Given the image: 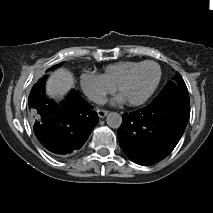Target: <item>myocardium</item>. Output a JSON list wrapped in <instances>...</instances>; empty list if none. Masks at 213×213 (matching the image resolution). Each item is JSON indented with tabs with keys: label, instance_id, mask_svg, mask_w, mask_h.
I'll use <instances>...</instances> for the list:
<instances>
[{
	"label": "myocardium",
	"instance_id": "obj_1",
	"mask_svg": "<svg viewBox=\"0 0 213 213\" xmlns=\"http://www.w3.org/2000/svg\"><path fill=\"white\" fill-rule=\"evenodd\" d=\"M145 65H152L154 67H156L157 69V77L155 80V83L152 87V89L150 90V92L144 96L143 98L136 100V101H126L128 103V105L130 106H139L144 104L145 102H147L155 93V91L157 90L160 81H161V77H162V70L161 67L159 66V64H157L156 62L153 61H143L140 62L139 64H137L136 66H134L132 69H130L122 78L121 80L118 82L117 86L115 87L117 92H120L121 88L124 86V84H126L129 79L132 77V75L141 67L145 66Z\"/></svg>",
	"mask_w": 213,
	"mask_h": 213
}]
</instances>
